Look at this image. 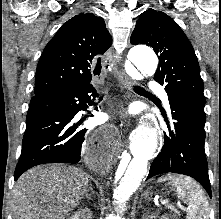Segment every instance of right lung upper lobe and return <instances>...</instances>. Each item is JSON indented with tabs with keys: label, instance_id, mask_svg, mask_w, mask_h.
Here are the masks:
<instances>
[{
	"label": "right lung upper lobe",
	"instance_id": "1",
	"mask_svg": "<svg viewBox=\"0 0 221 219\" xmlns=\"http://www.w3.org/2000/svg\"><path fill=\"white\" fill-rule=\"evenodd\" d=\"M101 17L82 13L68 20L46 45L36 71L34 95L90 84L111 46Z\"/></svg>",
	"mask_w": 221,
	"mask_h": 219
}]
</instances>
